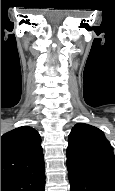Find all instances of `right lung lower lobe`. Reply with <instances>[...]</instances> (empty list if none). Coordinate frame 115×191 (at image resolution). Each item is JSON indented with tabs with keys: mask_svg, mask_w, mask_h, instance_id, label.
<instances>
[{
	"mask_svg": "<svg viewBox=\"0 0 115 191\" xmlns=\"http://www.w3.org/2000/svg\"><path fill=\"white\" fill-rule=\"evenodd\" d=\"M45 170L22 178H2L1 191H45Z\"/></svg>",
	"mask_w": 115,
	"mask_h": 191,
	"instance_id": "obj_1",
	"label": "right lung lower lobe"
}]
</instances>
